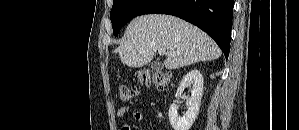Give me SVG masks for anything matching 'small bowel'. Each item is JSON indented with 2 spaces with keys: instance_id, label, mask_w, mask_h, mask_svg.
Masks as SVG:
<instances>
[{
  "instance_id": "small-bowel-1",
  "label": "small bowel",
  "mask_w": 299,
  "mask_h": 130,
  "mask_svg": "<svg viewBox=\"0 0 299 130\" xmlns=\"http://www.w3.org/2000/svg\"><path fill=\"white\" fill-rule=\"evenodd\" d=\"M128 112H131L132 117L136 121H139V122H144L145 121L144 116L142 115V113L137 108H132V107H129V106H123L120 109H118L117 116L118 117H123ZM119 130H132V129L128 124H123V125H121Z\"/></svg>"
}]
</instances>
